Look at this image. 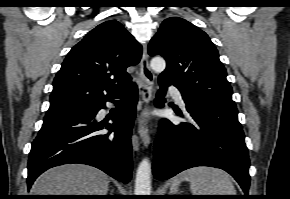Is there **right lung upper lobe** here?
<instances>
[{"mask_svg":"<svg viewBox=\"0 0 290 199\" xmlns=\"http://www.w3.org/2000/svg\"><path fill=\"white\" fill-rule=\"evenodd\" d=\"M141 55V45L118 21L98 25L66 56L53 81L45 118L116 98L132 85L126 68L136 65Z\"/></svg>","mask_w":290,"mask_h":199,"instance_id":"1","label":"right lung upper lobe"}]
</instances>
